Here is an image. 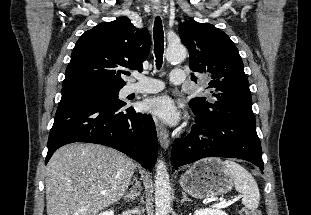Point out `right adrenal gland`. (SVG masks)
<instances>
[{
	"label": "right adrenal gland",
	"mask_w": 311,
	"mask_h": 215,
	"mask_svg": "<svg viewBox=\"0 0 311 215\" xmlns=\"http://www.w3.org/2000/svg\"><path fill=\"white\" fill-rule=\"evenodd\" d=\"M135 180V186H136V190H133V189H131L130 190V192H128V193H126L125 194V196H124V199L125 200H131V201H133V200H135V198L137 197V196H139L140 195V185H139V182L137 181V179H134Z\"/></svg>",
	"instance_id": "1"
}]
</instances>
